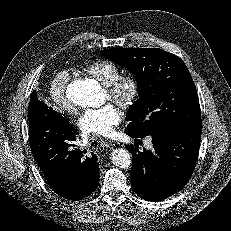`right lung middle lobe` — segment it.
I'll list each match as a JSON object with an SVG mask.
<instances>
[{
  "instance_id": "1",
  "label": "right lung middle lobe",
  "mask_w": 231,
  "mask_h": 231,
  "mask_svg": "<svg viewBox=\"0 0 231 231\" xmlns=\"http://www.w3.org/2000/svg\"><path fill=\"white\" fill-rule=\"evenodd\" d=\"M32 103V102H31ZM32 113H33V108H32V106H30V104H29V109H28V119H31V115H32Z\"/></svg>"
}]
</instances>
